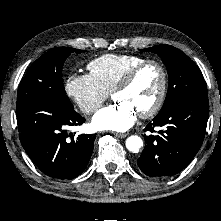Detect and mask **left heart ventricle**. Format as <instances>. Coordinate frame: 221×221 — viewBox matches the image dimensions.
I'll list each match as a JSON object with an SVG mask.
<instances>
[{"label":"left heart ventricle","mask_w":221,"mask_h":221,"mask_svg":"<svg viewBox=\"0 0 221 221\" xmlns=\"http://www.w3.org/2000/svg\"><path fill=\"white\" fill-rule=\"evenodd\" d=\"M160 83L159 69L153 65L147 66L130 87L115 93L114 100L128 103L139 114L154 104L159 93Z\"/></svg>","instance_id":"left-heart-ventricle-1"}]
</instances>
